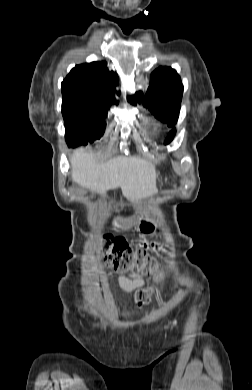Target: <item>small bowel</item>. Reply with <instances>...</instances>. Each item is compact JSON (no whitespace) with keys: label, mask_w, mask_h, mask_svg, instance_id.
Masks as SVG:
<instances>
[{"label":"small bowel","mask_w":252,"mask_h":390,"mask_svg":"<svg viewBox=\"0 0 252 390\" xmlns=\"http://www.w3.org/2000/svg\"><path fill=\"white\" fill-rule=\"evenodd\" d=\"M148 248L152 249L153 245H148ZM144 283V278L140 274L130 273L128 275H120L118 277L119 287L126 292H132L139 289L144 286Z\"/></svg>","instance_id":"small-bowel-1"}]
</instances>
